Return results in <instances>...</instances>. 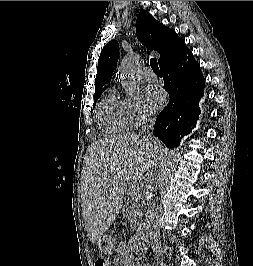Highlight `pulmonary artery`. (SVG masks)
<instances>
[{"instance_id": "pulmonary-artery-1", "label": "pulmonary artery", "mask_w": 253, "mask_h": 266, "mask_svg": "<svg viewBox=\"0 0 253 266\" xmlns=\"http://www.w3.org/2000/svg\"><path fill=\"white\" fill-rule=\"evenodd\" d=\"M142 75L147 81H156V75L150 67L144 68Z\"/></svg>"}]
</instances>
